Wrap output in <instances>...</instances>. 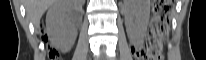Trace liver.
<instances>
[{"label":"liver","instance_id":"1","mask_svg":"<svg viewBox=\"0 0 206 60\" xmlns=\"http://www.w3.org/2000/svg\"><path fill=\"white\" fill-rule=\"evenodd\" d=\"M64 0H25L26 14L35 28H39L40 19L45 11L54 4H63Z\"/></svg>","mask_w":206,"mask_h":60}]
</instances>
